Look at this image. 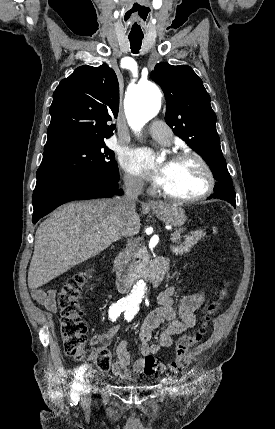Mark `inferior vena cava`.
Instances as JSON below:
<instances>
[{
	"instance_id": "1",
	"label": "inferior vena cava",
	"mask_w": 275,
	"mask_h": 429,
	"mask_svg": "<svg viewBox=\"0 0 275 429\" xmlns=\"http://www.w3.org/2000/svg\"><path fill=\"white\" fill-rule=\"evenodd\" d=\"M124 186V195L117 198L116 209L118 215L126 220L135 212V202L138 199L139 194L142 192L143 183L135 178L125 177ZM127 247L131 253L135 252L137 242L132 238H128Z\"/></svg>"
}]
</instances>
